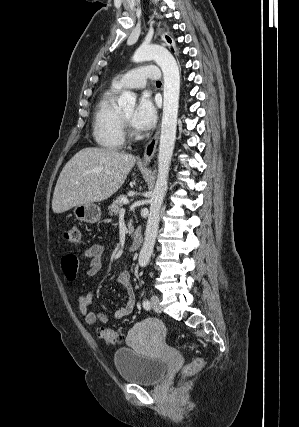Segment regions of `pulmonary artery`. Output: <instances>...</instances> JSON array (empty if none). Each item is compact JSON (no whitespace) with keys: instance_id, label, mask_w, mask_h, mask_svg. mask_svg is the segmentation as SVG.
Here are the masks:
<instances>
[{"instance_id":"1","label":"pulmonary artery","mask_w":299,"mask_h":427,"mask_svg":"<svg viewBox=\"0 0 299 427\" xmlns=\"http://www.w3.org/2000/svg\"><path fill=\"white\" fill-rule=\"evenodd\" d=\"M161 77L159 69L155 66L144 65L132 69L113 82V86L118 89H141L146 85L147 80L157 81Z\"/></svg>"}]
</instances>
